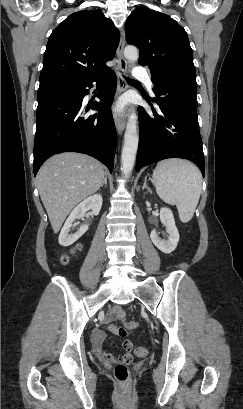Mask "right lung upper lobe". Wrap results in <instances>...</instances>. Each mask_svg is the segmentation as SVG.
I'll return each instance as SVG.
<instances>
[{"instance_id": "right-lung-upper-lobe-1", "label": "right lung upper lobe", "mask_w": 243, "mask_h": 409, "mask_svg": "<svg viewBox=\"0 0 243 409\" xmlns=\"http://www.w3.org/2000/svg\"><path fill=\"white\" fill-rule=\"evenodd\" d=\"M120 40L119 31L101 10L71 14L49 37L40 80L64 78L83 82L108 67Z\"/></svg>"}]
</instances>
